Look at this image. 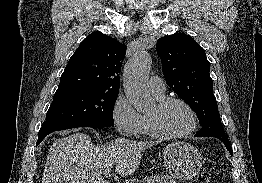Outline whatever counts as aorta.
Listing matches in <instances>:
<instances>
[{
	"instance_id": "1",
	"label": "aorta",
	"mask_w": 262,
	"mask_h": 183,
	"mask_svg": "<svg viewBox=\"0 0 262 183\" xmlns=\"http://www.w3.org/2000/svg\"><path fill=\"white\" fill-rule=\"evenodd\" d=\"M150 67L151 57L146 51L136 53L124 67V91L129 102L139 112H144L153 105V99L146 84Z\"/></svg>"
}]
</instances>
